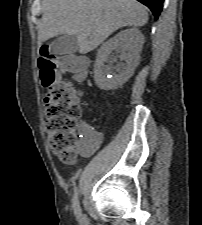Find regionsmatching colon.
I'll list each match as a JSON object with an SVG mask.
<instances>
[{
	"label": "colon",
	"mask_w": 202,
	"mask_h": 225,
	"mask_svg": "<svg viewBox=\"0 0 202 225\" xmlns=\"http://www.w3.org/2000/svg\"><path fill=\"white\" fill-rule=\"evenodd\" d=\"M62 64L63 71L81 69L86 62L76 55L58 56L49 43H45L39 55V69L46 94L44 96L45 119L44 130L52 153L63 163L74 161L76 149L83 145L79 119L81 107L78 104L77 91L65 77H61L57 68ZM80 134V136H81Z\"/></svg>",
	"instance_id": "5ec220e1"
}]
</instances>
